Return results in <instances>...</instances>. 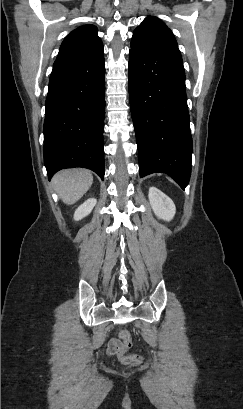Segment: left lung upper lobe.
Instances as JSON below:
<instances>
[{
  "mask_svg": "<svg viewBox=\"0 0 243 409\" xmlns=\"http://www.w3.org/2000/svg\"><path fill=\"white\" fill-rule=\"evenodd\" d=\"M162 46H177L172 31L156 17H147L139 25L131 40V50L151 51Z\"/></svg>",
  "mask_w": 243,
  "mask_h": 409,
  "instance_id": "obj_1",
  "label": "left lung upper lobe"
}]
</instances>
